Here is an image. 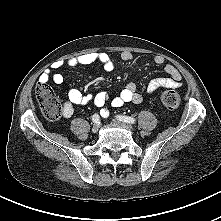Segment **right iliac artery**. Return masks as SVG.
I'll use <instances>...</instances> for the list:
<instances>
[{
    "instance_id": "obj_1",
    "label": "right iliac artery",
    "mask_w": 221,
    "mask_h": 221,
    "mask_svg": "<svg viewBox=\"0 0 221 221\" xmlns=\"http://www.w3.org/2000/svg\"><path fill=\"white\" fill-rule=\"evenodd\" d=\"M92 120H93V122H95V123H99V121H100L99 115H98V114H94V115L92 116Z\"/></svg>"
}]
</instances>
